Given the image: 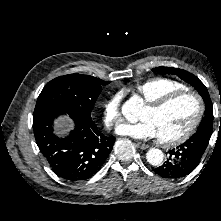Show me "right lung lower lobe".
Listing matches in <instances>:
<instances>
[{
    "label": "right lung lower lobe",
    "mask_w": 221,
    "mask_h": 221,
    "mask_svg": "<svg viewBox=\"0 0 221 221\" xmlns=\"http://www.w3.org/2000/svg\"><path fill=\"white\" fill-rule=\"evenodd\" d=\"M62 114L67 113L48 104L35 106L36 143L57 176L69 181L87 180L104 164L115 138L101 134L93 121L69 114L75 127L68 136L60 138L53 132V122Z\"/></svg>",
    "instance_id": "98d812e1"
}]
</instances>
